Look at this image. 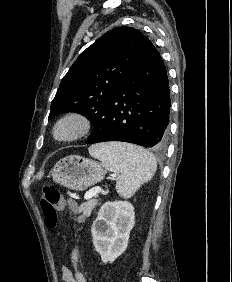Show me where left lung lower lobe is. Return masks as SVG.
I'll return each mask as SVG.
<instances>
[{
	"label": "left lung lower lobe",
	"instance_id": "obj_1",
	"mask_svg": "<svg viewBox=\"0 0 232 282\" xmlns=\"http://www.w3.org/2000/svg\"><path fill=\"white\" fill-rule=\"evenodd\" d=\"M170 107L167 70L149 40L103 118L94 125L87 144L122 141L163 148L168 139Z\"/></svg>",
	"mask_w": 232,
	"mask_h": 282
}]
</instances>
